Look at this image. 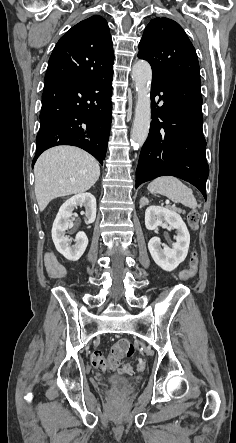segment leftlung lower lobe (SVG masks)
Returning a JSON list of instances; mask_svg holds the SVG:
<instances>
[{
  "instance_id": "left-lung-lower-lobe-1",
  "label": "left lung lower lobe",
  "mask_w": 236,
  "mask_h": 443,
  "mask_svg": "<svg viewBox=\"0 0 236 443\" xmlns=\"http://www.w3.org/2000/svg\"><path fill=\"white\" fill-rule=\"evenodd\" d=\"M200 87L197 76L152 77V122L139 157L136 188L159 176L171 175L193 184L206 199L209 168Z\"/></svg>"
}]
</instances>
